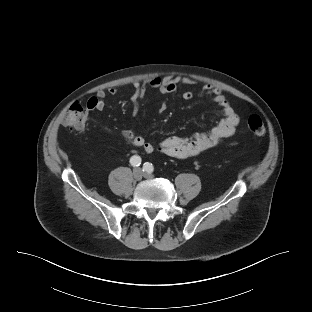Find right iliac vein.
I'll list each match as a JSON object with an SVG mask.
<instances>
[{"label":"right iliac vein","mask_w":312,"mask_h":312,"mask_svg":"<svg viewBox=\"0 0 312 312\" xmlns=\"http://www.w3.org/2000/svg\"><path fill=\"white\" fill-rule=\"evenodd\" d=\"M133 177L136 179V180H141L142 177H143V172L140 168H136L134 169L133 171Z\"/></svg>","instance_id":"63e3f726"}]
</instances>
